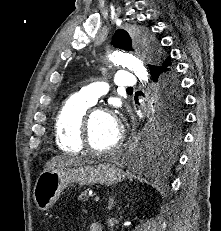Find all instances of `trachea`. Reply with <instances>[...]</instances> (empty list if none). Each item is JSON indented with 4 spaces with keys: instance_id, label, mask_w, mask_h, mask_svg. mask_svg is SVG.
Wrapping results in <instances>:
<instances>
[{
    "instance_id": "3493384b",
    "label": "trachea",
    "mask_w": 221,
    "mask_h": 231,
    "mask_svg": "<svg viewBox=\"0 0 221 231\" xmlns=\"http://www.w3.org/2000/svg\"><path fill=\"white\" fill-rule=\"evenodd\" d=\"M127 90L129 91V90H133V88H127Z\"/></svg>"
}]
</instances>
